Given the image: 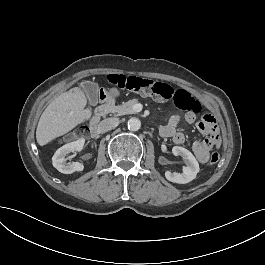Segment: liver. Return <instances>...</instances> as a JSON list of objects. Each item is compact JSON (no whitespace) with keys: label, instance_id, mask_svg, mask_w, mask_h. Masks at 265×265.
Here are the masks:
<instances>
[{"label":"liver","instance_id":"obj_1","mask_svg":"<svg viewBox=\"0 0 265 265\" xmlns=\"http://www.w3.org/2000/svg\"><path fill=\"white\" fill-rule=\"evenodd\" d=\"M86 102L85 94L79 87H73L52 100L39 118L36 128L37 144L44 147L90 121L93 110L85 107Z\"/></svg>","mask_w":265,"mask_h":265}]
</instances>
